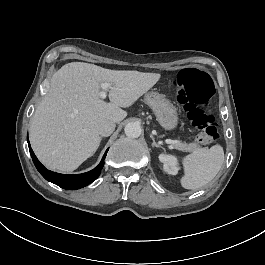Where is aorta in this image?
<instances>
[{
	"label": "aorta",
	"mask_w": 265,
	"mask_h": 265,
	"mask_svg": "<svg viewBox=\"0 0 265 265\" xmlns=\"http://www.w3.org/2000/svg\"><path fill=\"white\" fill-rule=\"evenodd\" d=\"M125 134L131 138H138L141 135V126L136 122L128 123L124 128Z\"/></svg>",
	"instance_id": "762f6f07"
}]
</instances>
